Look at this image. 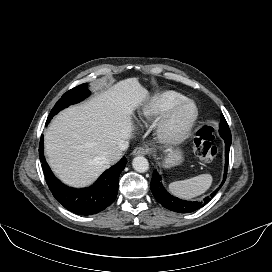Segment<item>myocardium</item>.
Listing matches in <instances>:
<instances>
[{"label":"myocardium","mask_w":272,"mask_h":272,"mask_svg":"<svg viewBox=\"0 0 272 272\" xmlns=\"http://www.w3.org/2000/svg\"><path fill=\"white\" fill-rule=\"evenodd\" d=\"M184 106L193 108V115L189 122L179 130L171 128L175 114ZM199 118V109L196 103L190 99H183L173 104L158 120L156 125V136L165 145H176L185 141L191 134Z\"/></svg>","instance_id":"1"}]
</instances>
